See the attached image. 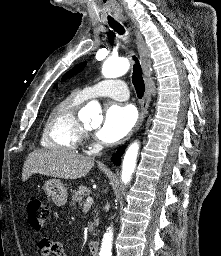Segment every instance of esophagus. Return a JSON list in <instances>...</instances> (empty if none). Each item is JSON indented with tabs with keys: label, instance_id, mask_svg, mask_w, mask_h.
Instances as JSON below:
<instances>
[{
	"label": "esophagus",
	"instance_id": "obj_1",
	"mask_svg": "<svg viewBox=\"0 0 221 256\" xmlns=\"http://www.w3.org/2000/svg\"><path fill=\"white\" fill-rule=\"evenodd\" d=\"M135 41H136V45H137L138 52H139L141 67H142V70H143V73H144V76L146 79V92H145V95H144V98H143V101L141 104V111L139 114V119L129 136H131L135 131H137L139 129V127L142 125V123L148 113V108H149L150 100H151L150 86L148 83V80L151 76V70H152L150 53H149L147 46L144 43L142 36L138 32L135 33Z\"/></svg>",
	"mask_w": 221,
	"mask_h": 256
}]
</instances>
